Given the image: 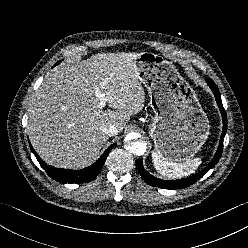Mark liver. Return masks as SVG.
<instances>
[{
	"instance_id": "6515ba94",
	"label": "liver",
	"mask_w": 248,
	"mask_h": 248,
	"mask_svg": "<svg viewBox=\"0 0 248 248\" xmlns=\"http://www.w3.org/2000/svg\"><path fill=\"white\" fill-rule=\"evenodd\" d=\"M139 53H98L49 73L29 109L30 141L48 164L81 168L99 155L108 135L101 127L122 131L130 116L142 111L145 92L135 60ZM109 107L100 108L96 93Z\"/></svg>"
}]
</instances>
